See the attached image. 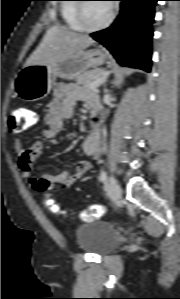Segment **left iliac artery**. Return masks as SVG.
<instances>
[{
  "label": "left iliac artery",
  "instance_id": "obj_1",
  "mask_svg": "<svg viewBox=\"0 0 180 299\" xmlns=\"http://www.w3.org/2000/svg\"><path fill=\"white\" fill-rule=\"evenodd\" d=\"M107 178V174H106V171H102L101 174H100V177H99V180L101 182L105 181Z\"/></svg>",
  "mask_w": 180,
  "mask_h": 299
}]
</instances>
